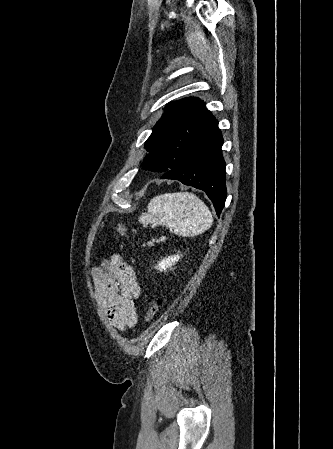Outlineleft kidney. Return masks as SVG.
Instances as JSON below:
<instances>
[{"instance_id": "left-kidney-1", "label": "left kidney", "mask_w": 333, "mask_h": 449, "mask_svg": "<svg viewBox=\"0 0 333 449\" xmlns=\"http://www.w3.org/2000/svg\"><path fill=\"white\" fill-rule=\"evenodd\" d=\"M179 259L180 256L178 254L169 256L168 258H164L161 262H159L156 268L159 271L166 270L167 268L172 267L175 264V262H177Z\"/></svg>"}]
</instances>
